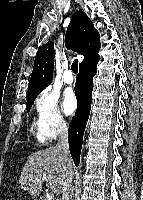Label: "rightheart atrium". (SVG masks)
Listing matches in <instances>:
<instances>
[{
    "instance_id": "1",
    "label": "right heart atrium",
    "mask_w": 143,
    "mask_h": 200,
    "mask_svg": "<svg viewBox=\"0 0 143 200\" xmlns=\"http://www.w3.org/2000/svg\"><path fill=\"white\" fill-rule=\"evenodd\" d=\"M36 109L40 130L46 139H53L66 127V120L58 106L57 95L50 89L43 90L37 97Z\"/></svg>"
}]
</instances>
